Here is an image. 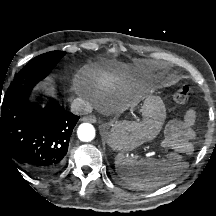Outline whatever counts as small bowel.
<instances>
[{"label":"small bowel","instance_id":"obj_1","mask_svg":"<svg viewBox=\"0 0 216 216\" xmlns=\"http://www.w3.org/2000/svg\"><path fill=\"white\" fill-rule=\"evenodd\" d=\"M195 120L196 113L190 109L183 120H172L168 123L165 139L171 149L186 155L193 152L192 140L196 138Z\"/></svg>","mask_w":216,"mask_h":216}]
</instances>
